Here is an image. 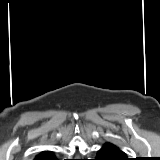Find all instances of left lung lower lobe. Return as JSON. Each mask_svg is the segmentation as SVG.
Here are the masks:
<instances>
[{
    "mask_svg": "<svg viewBox=\"0 0 160 160\" xmlns=\"http://www.w3.org/2000/svg\"><path fill=\"white\" fill-rule=\"evenodd\" d=\"M95 160H129L125 153L111 143H105L97 152Z\"/></svg>",
    "mask_w": 160,
    "mask_h": 160,
    "instance_id": "1",
    "label": "left lung lower lobe"
}]
</instances>
